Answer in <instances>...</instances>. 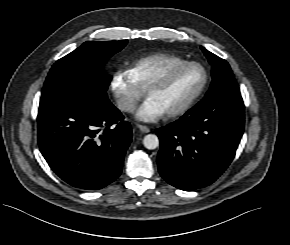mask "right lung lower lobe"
I'll use <instances>...</instances> for the list:
<instances>
[{
	"mask_svg": "<svg viewBox=\"0 0 290 245\" xmlns=\"http://www.w3.org/2000/svg\"><path fill=\"white\" fill-rule=\"evenodd\" d=\"M37 121L40 151L65 182L96 190L118 178L132 131L108 99L84 95L40 106Z\"/></svg>",
	"mask_w": 290,
	"mask_h": 245,
	"instance_id": "obj_1",
	"label": "right lung lower lobe"
}]
</instances>
